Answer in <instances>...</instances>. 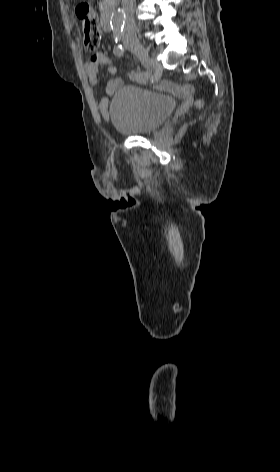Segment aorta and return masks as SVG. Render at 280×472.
I'll list each match as a JSON object with an SVG mask.
<instances>
[{
	"instance_id": "aorta-1",
	"label": "aorta",
	"mask_w": 280,
	"mask_h": 472,
	"mask_svg": "<svg viewBox=\"0 0 280 472\" xmlns=\"http://www.w3.org/2000/svg\"><path fill=\"white\" fill-rule=\"evenodd\" d=\"M125 12L122 9H117L111 17V26L114 29H120L125 22Z\"/></svg>"
}]
</instances>
